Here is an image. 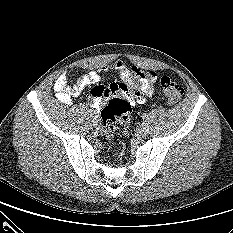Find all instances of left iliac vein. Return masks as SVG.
<instances>
[{
    "mask_svg": "<svg viewBox=\"0 0 233 233\" xmlns=\"http://www.w3.org/2000/svg\"><path fill=\"white\" fill-rule=\"evenodd\" d=\"M149 132V128H148V125L146 123H143L141 125V128L139 129V134L141 136H146Z\"/></svg>",
    "mask_w": 233,
    "mask_h": 233,
    "instance_id": "1",
    "label": "left iliac vein"
}]
</instances>
